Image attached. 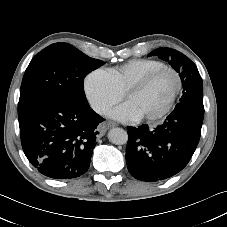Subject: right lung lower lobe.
<instances>
[{
	"label": "right lung lower lobe",
	"mask_w": 227,
	"mask_h": 227,
	"mask_svg": "<svg viewBox=\"0 0 227 227\" xmlns=\"http://www.w3.org/2000/svg\"><path fill=\"white\" fill-rule=\"evenodd\" d=\"M18 115L23 151L40 173L67 179L88 170L96 128L104 121L90 106L47 100Z\"/></svg>",
	"instance_id": "obj_1"
}]
</instances>
